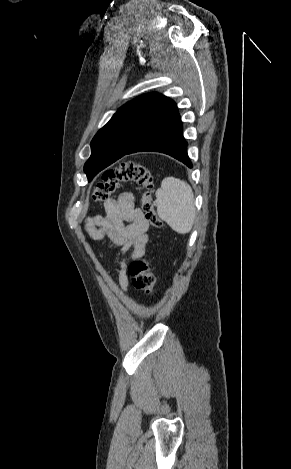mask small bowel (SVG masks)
<instances>
[{
    "label": "small bowel",
    "mask_w": 291,
    "mask_h": 469,
    "mask_svg": "<svg viewBox=\"0 0 291 469\" xmlns=\"http://www.w3.org/2000/svg\"><path fill=\"white\" fill-rule=\"evenodd\" d=\"M104 210L105 215L95 214L87 219L86 230L95 241L108 238L121 247L123 259L118 285L122 291H127V262L129 258L136 260L145 255L149 244V224L130 192L120 194L115 200H107Z\"/></svg>",
    "instance_id": "small-bowel-1"
}]
</instances>
